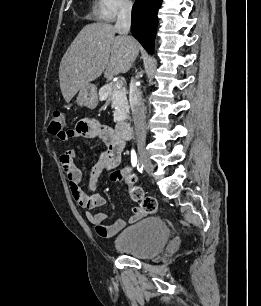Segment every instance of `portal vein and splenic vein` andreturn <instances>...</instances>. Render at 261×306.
Listing matches in <instances>:
<instances>
[{"label": "portal vein and splenic vein", "mask_w": 261, "mask_h": 306, "mask_svg": "<svg viewBox=\"0 0 261 306\" xmlns=\"http://www.w3.org/2000/svg\"><path fill=\"white\" fill-rule=\"evenodd\" d=\"M115 85H116L117 88H121L123 86V82L122 81H117L115 83Z\"/></svg>", "instance_id": "1"}]
</instances>
